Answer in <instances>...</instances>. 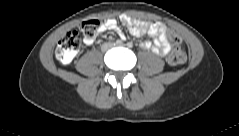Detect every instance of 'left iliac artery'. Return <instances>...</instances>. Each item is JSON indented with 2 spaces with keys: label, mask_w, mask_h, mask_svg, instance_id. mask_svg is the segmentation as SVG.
I'll return each instance as SVG.
<instances>
[{
  "label": "left iliac artery",
  "mask_w": 239,
  "mask_h": 136,
  "mask_svg": "<svg viewBox=\"0 0 239 136\" xmlns=\"http://www.w3.org/2000/svg\"><path fill=\"white\" fill-rule=\"evenodd\" d=\"M127 46H128L129 48H132V47H133V43H132V42H128V43H127Z\"/></svg>",
  "instance_id": "44dca946"
}]
</instances>
